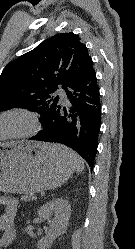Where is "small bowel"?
<instances>
[{
  "mask_svg": "<svg viewBox=\"0 0 135 249\" xmlns=\"http://www.w3.org/2000/svg\"><path fill=\"white\" fill-rule=\"evenodd\" d=\"M0 206L4 207V212L0 214V249L7 247L16 239L17 230L15 227V217L18 209V200L11 196H0Z\"/></svg>",
  "mask_w": 135,
  "mask_h": 249,
  "instance_id": "1",
  "label": "small bowel"
}]
</instances>
